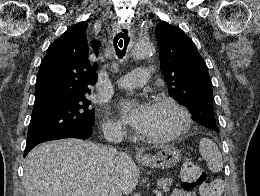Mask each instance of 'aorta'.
<instances>
[{
	"instance_id": "1",
	"label": "aorta",
	"mask_w": 260,
	"mask_h": 196,
	"mask_svg": "<svg viewBox=\"0 0 260 196\" xmlns=\"http://www.w3.org/2000/svg\"><path fill=\"white\" fill-rule=\"evenodd\" d=\"M153 52L154 48L150 43L139 42L134 46L132 56L134 59H143L151 56Z\"/></svg>"
}]
</instances>
